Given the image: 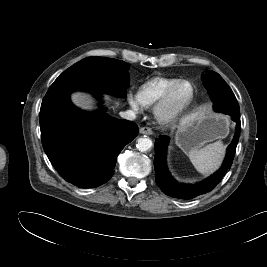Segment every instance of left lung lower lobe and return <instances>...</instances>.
<instances>
[{"mask_svg":"<svg viewBox=\"0 0 267 267\" xmlns=\"http://www.w3.org/2000/svg\"><path fill=\"white\" fill-rule=\"evenodd\" d=\"M215 109V108H214ZM217 112H222L232 117L237 123L236 133L232 143L227 148V154L222 167L213 175L198 184H180L168 172L166 166V154L169 138L165 135L155 140L154 167L156 172V183L160 189L171 197L180 199H192L201 194L211 191L222 179L230 168L235 154L236 146L240 136V109L237 100H230L226 107H218Z\"/></svg>","mask_w":267,"mask_h":267,"instance_id":"0a47b994","label":"left lung lower lobe"}]
</instances>
